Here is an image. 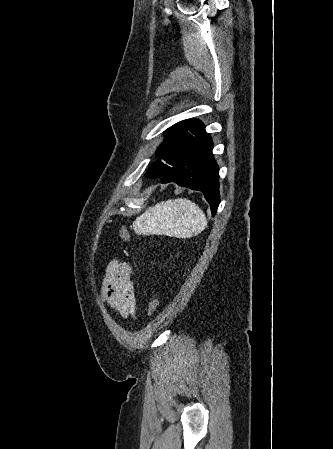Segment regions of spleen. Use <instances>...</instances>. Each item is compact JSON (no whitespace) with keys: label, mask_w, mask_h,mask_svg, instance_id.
Returning a JSON list of instances; mask_svg holds the SVG:
<instances>
[{"label":"spleen","mask_w":333,"mask_h":449,"mask_svg":"<svg viewBox=\"0 0 333 449\" xmlns=\"http://www.w3.org/2000/svg\"><path fill=\"white\" fill-rule=\"evenodd\" d=\"M203 210L188 199L160 202L149 207L134 222V230L141 234L190 238L207 227Z\"/></svg>","instance_id":"spleen-1"}]
</instances>
